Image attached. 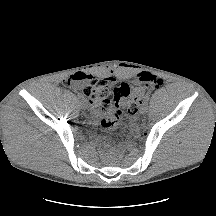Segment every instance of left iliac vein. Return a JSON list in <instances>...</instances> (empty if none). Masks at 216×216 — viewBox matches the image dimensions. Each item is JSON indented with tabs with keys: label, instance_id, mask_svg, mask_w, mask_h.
I'll return each instance as SVG.
<instances>
[{
	"label": "left iliac vein",
	"instance_id": "4c4485c4",
	"mask_svg": "<svg viewBox=\"0 0 216 216\" xmlns=\"http://www.w3.org/2000/svg\"><path fill=\"white\" fill-rule=\"evenodd\" d=\"M148 110V106L147 105H143L141 108H140V113L141 114H145Z\"/></svg>",
	"mask_w": 216,
	"mask_h": 216
}]
</instances>
